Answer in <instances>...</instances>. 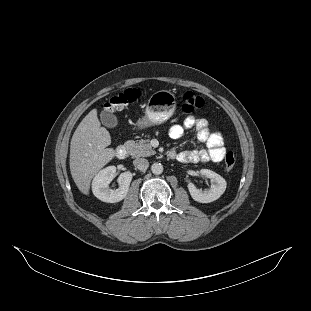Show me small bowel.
<instances>
[{"label": "small bowel", "mask_w": 311, "mask_h": 311, "mask_svg": "<svg viewBox=\"0 0 311 311\" xmlns=\"http://www.w3.org/2000/svg\"><path fill=\"white\" fill-rule=\"evenodd\" d=\"M194 128L197 131L198 140L205 145L200 150L182 151L174 154V159L181 163H207L221 162L226 153L223 137L219 132H211L206 119L199 116H188L182 124H175L170 127L169 135L172 139H179L188 129Z\"/></svg>", "instance_id": "small-bowel-1"}]
</instances>
